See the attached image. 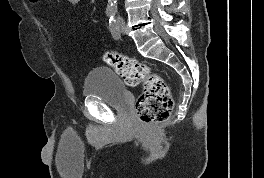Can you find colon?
Listing matches in <instances>:
<instances>
[{
  "mask_svg": "<svg viewBox=\"0 0 264 178\" xmlns=\"http://www.w3.org/2000/svg\"><path fill=\"white\" fill-rule=\"evenodd\" d=\"M101 59L112 66L127 85H143L135 104L136 113L143 123L162 122L170 117L174 102L162 77L152 73L146 64L115 51L103 53Z\"/></svg>",
  "mask_w": 264,
  "mask_h": 178,
  "instance_id": "obj_1",
  "label": "colon"
}]
</instances>
